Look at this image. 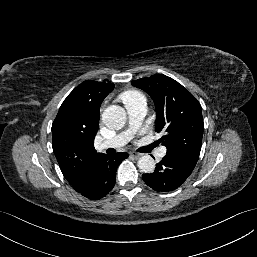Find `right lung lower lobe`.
Masks as SVG:
<instances>
[{
    "mask_svg": "<svg viewBox=\"0 0 257 257\" xmlns=\"http://www.w3.org/2000/svg\"><path fill=\"white\" fill-rule=\"evenodd\" d=\"M128 157L125 152L101 156L92 173L82 188L76 190L89 199H100L108 194L116 181V170L119 164Z\"/></svg>",
    "mask_w": 257,
    "mask_h": 257,
    "instance_id": "98d812e1",
    "label": "right lung lower lobe"
}]
</instances>
